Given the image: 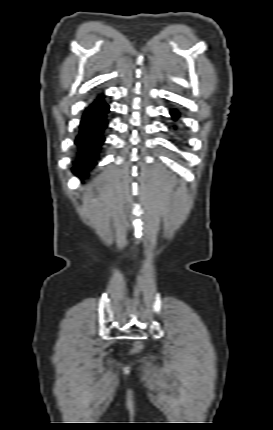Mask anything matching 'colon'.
Segmentation results:
<instances>
[{"label":"colon","mask_w":273,"mask_h":430,"mask_svg":"<svg viewBox=\"0 0 273 430\" xmlns=\"http://www.w3.org/2000/svg\"><path fill=\"white\" fill-rule=\"evenodd\" d=\"M140 347H141V345H140V343H138V344H137V349H138V348H140Z\"/></svg>","instance_id":"1"}]
</instances>
